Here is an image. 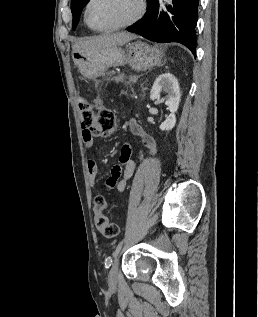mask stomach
<instances>
[{"label": "stomach", "instance_id": "1", "mask_svg": "<svg viewBox=\"0 0 258 317\" xmlns=\"http://www.w3.org/2000/svg\"><path fill=\"white\" fill-rule=\"evenodd\" d=\"M163 50L149 46L146 42L136 40L128 42L125 48L121 46H104L96 50H73L72 58L83 76H98L109 66H121L129 62L135 70H147L151 66L161 64Z\"/></svg>", "mask_w": 258, "mask_h": 317}]
</instances>
